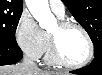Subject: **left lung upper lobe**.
<instances>
[{
	"instance_id": "1",
	"label": "left lung upper lobe",
	"mask_w": 102,
	"mask_h": 75,
	"mask_svg": "<svg viewBox=\"0 0 102 75\" xmlns=\"http://www.w3.org/2000/svg\"><path fill=\"white\" fill-rule=\"evenodd\" d=\"M62 1L89 34L94 44V55L102 52V0Z\"/></svg>"
}]
</instances>
